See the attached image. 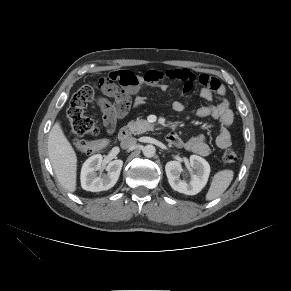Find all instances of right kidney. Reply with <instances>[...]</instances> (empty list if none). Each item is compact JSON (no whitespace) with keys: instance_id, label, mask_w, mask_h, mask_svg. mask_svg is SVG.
<instances>
[{"instance_id":"obj_1","label":"right kidney","mask_w":291,"mask_h":291,"mask_svg":"<svg viewBox=\"0 0 291 291\" xmlns=\"http://www.w3.org/2000/svg\"><path fill=\"white\" fill-rule=\"evenodd\" d=\"M102 155L96 154L88 158L81 169V186L86 191L99 192L112 188L120 176L123 166L122 160L111 161L106 170L105 175H97V171L101 169Z\"/></svg>"}]
</instances>
